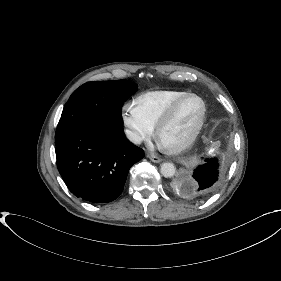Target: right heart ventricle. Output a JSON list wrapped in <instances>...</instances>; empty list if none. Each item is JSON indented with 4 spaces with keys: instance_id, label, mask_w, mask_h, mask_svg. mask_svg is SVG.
Masks as SVG:
<instances>
[{
    "instance_id": "e07e8e85",
    "label": "right heart ventricle",
    "mask_w": 281,
    "mask_h": 281,
    "mask_svg": "<svg viewBox=\"0 0 281 281\" xmlns=\"http://www.w3.org/2000/svg\"><path fill=\"white\" fill-rule=\"evenodd\" d=\"M185 94L187 92L179 90L148 91L137 96L135 103L145 120L155 127L168 107Z\"/></svg>"
}]
</instances>
